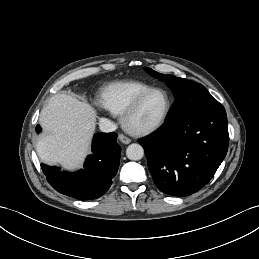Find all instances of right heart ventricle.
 <instances>
[{
  "label": "right heart ventricle",
  "mask_w": 259,
  "mask_h": 259,
  "mask_svg": "<svg viewBox=\"0 0 259 259\" xmlns=\"http://www.w3.org/2000/svg\"><path fill=\"white\" fill-rule=\"evenodd\" d=\"M152 87L139 81H119L107 85L100 94L101 104L114 115L121 116L132 102Z\"/></svg>",
  "instance_id": "e07e8e85"
}]
</instances>
